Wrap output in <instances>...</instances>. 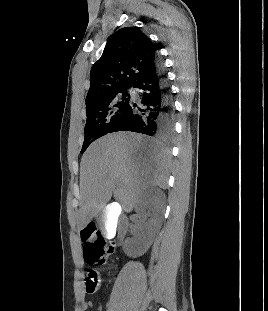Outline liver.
Wrapping results in <instances>:
<instances>
[{
    "label": "liver",
    "instance_id": "liver-1",
    "mask_svg": "<svg viewBox=\"0 0 268 311\" xmlns=\"http://www.w3.org/2000/svg\"><path fill=\"white\" fill-rule=\"evenodd\" d=\"M169 154L131 132L108 134L90 145L80 164L78 226L101 214L112 195L117 211L131 212L151 186L166 189ZM110 207L106 208V213Z\"/></svg>",
    "mask_w": 268,
    "mask_h": 311
}]
</instances>
